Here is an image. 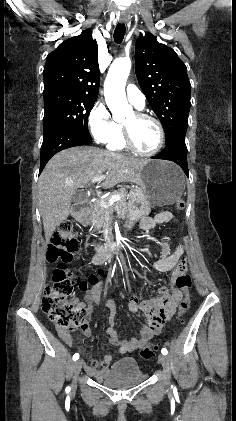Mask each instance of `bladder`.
I'll use <instances>...</instances> for the list:
<instances>
[{"label": "bladder", "mask_w": 236, "mask_h": 421, "mask_svg": "<svg viewBox=\"0 0 236 421\" xmlns=\"http://www.w3.org/2000/svg\"><path fill=\"white\" fill-rule=\"evenodd\" d=\"M145 372H142L134 358H120L114 363L102 378L105 386L126 388L141 384L146 380Z\"/></svg>", "instance_id": "bladder-1"}]
</instances>
